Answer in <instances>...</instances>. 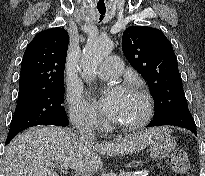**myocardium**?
Returning <instances> with one entry per match:
<instances>
[{
    "label": "myocardium",
    "instance_id": "myocardium-1",
    "mask_svg": "<svg viewBox=\"0 0 205 176\" xmlns=\"http://www.w3.org/2000/svg\"><path fill=\"white\" fill-rule=\"evenodd\" d=\"M135 93L143 100L145 105L144 115L140 120L131 124L117 123V126L123 130H137L147 125L154 112L153 99L149 92L143 88L136 89Z\"/></svg>",
    "mask_w": 205,
    "mask_h": 176
}]
</instances>
